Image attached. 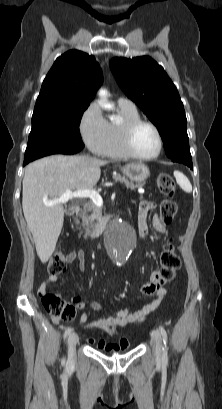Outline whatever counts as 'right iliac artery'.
<instances>
[{
  "mask_svg": "<svg viewBox=\"0 0 222 409\" xmlns=\"http://www.w3.org/2000/svg\"><path fill=\"white\" fill-rule=\"evenodd\" d=\"M72 330L73 329L71 327L67 328L65 333H64V337H67L72 332Z\"/></svg>",
  "mask_w": 222,
  "mask_h": 409,
  "instance_id": "right-iliac-artery-1",
  "label": "right iliac artery"
}]
</instances>
